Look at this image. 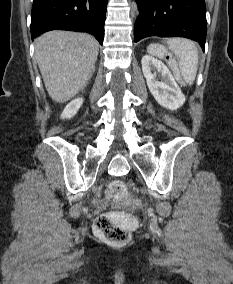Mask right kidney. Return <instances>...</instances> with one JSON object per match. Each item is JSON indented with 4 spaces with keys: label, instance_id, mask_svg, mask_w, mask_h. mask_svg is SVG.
Masks as SVG:
<instances>
[{
    "label": "right kidney",
    "instance_id": "1",
    "mask_svg": "<svg viewBox=\"0 0 233 284\" xmlns=\"http://www.w3.org/2000/svg\"><path fill=\"white\" fill-rule=\"evenodd\" d=\"M83 104V98L82 97H79V98H76L74 100H72L64 109L62 115H61V118H72L77 112L78 110L80 109V107L82 106Z\"/></svg>",
    "mask_w": 233,
    "mask_h": 284
}]
</instances>
